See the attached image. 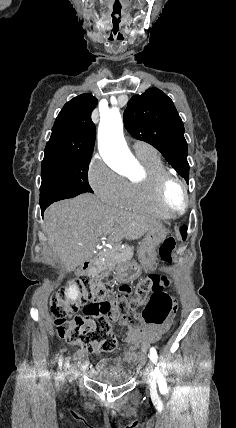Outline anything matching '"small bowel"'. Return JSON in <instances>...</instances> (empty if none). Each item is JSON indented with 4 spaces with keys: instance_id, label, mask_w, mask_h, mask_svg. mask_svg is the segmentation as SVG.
<instances>
[{
    "instance_id": "c3829d8e",
    "label": "small bowel",
    "mask_w": 236,
    "mask_h": 428,
    "mask_svg": "<svg viewBox=\"0 0 236 428\" xmlns=\"http://www.w3.org/2000/svg\"><path fill=\"white\" fill-rule=\"evenodd\" d=\"M121 324L126 327L125 341L128 349L124 352L122 358L129 362L140 361L144 358L151 342L156 340L168 327H148L141 326L140 320L136 316H124ZM75 359L80 368L85 371H93L94 365L84 350H79L75 354ZM121 359V357H117ZM106 361H100L101 366H105Z\"/></svg>"
}]
</instances>
